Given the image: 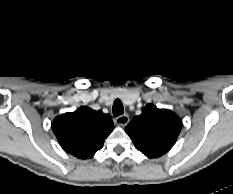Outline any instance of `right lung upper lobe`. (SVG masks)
Returning a JSON list of instances; mask_svg holds the SVG:
<instances>
[{
	"mask_svg": "<svg viewBox=\"0 0 233 194\" xmlns=\"http://www.w3.org/2000/svg\"><path fill=\"white\" fill-rule=\"evenodd\" d=\"M52 129L66 152L87 159L103 147L104 139L114 126L108 114L80 107L55 118Z\"/></svg>",
	"mask_w": 233,
	"mask_h": 194,
	"instance_id": "right-lung-upper-lobe-1",
	"label": "right lung upper lobe"
}]
</instances>
